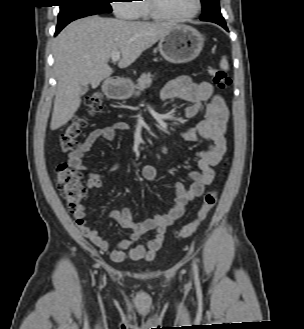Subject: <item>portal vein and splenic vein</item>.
I'll return each mask as SVG.
<instances>
[{"mask_svg": "<svg viewBox=\"0 0 304 329\" xmlns=\"http://www.w3.org/2000/svg\"><path fill=\"white\" fill-rule=\"evenodd\" d=\"M111 59H112L113 62L119 61L120 60V53L119 52L113 53L111 55Z\"/></svg>", "mask_w": 304, "mask_h": 329, "instance_id": "1", "label": "portal vein and splenic vein"}]
</instances>
